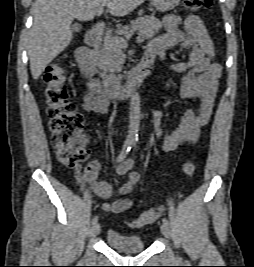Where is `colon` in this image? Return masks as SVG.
Listing matches in <instances>:
<instances>
[{"label": "colon", "instance_id": "obj_1", "mask_svg": "<svg viewBox=\"0 0 254 267\" xmlns=\"http://www.w3.org/2000/svg\"><path fill=\"white\" fill-rule=\"evenodd\" d=\"M212 0H184L188 11L207 9ZM66 72L61 62L50 64L44 73L47 115L52 133V145L56 150L58 160L71 168H79L89 157V149L83 136L84 118L69 98L65 84ZM195 166L191 162L183 164V172L191 176ZM163 207L151 208L129 223L131 227L139 228L159 218Z\"/></svg>", "mask_w": 254, "mask_h": 267}]
</instances>
